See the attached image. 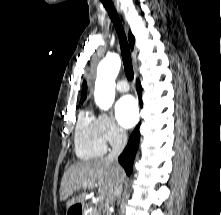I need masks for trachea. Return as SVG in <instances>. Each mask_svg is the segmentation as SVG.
Returning <instances> with one entry per match:
<instances>
[{
  "label": "trachea",
  "mask_w": 221,
  "mask_h": 215,
  "mask_svg": "<svg viewBox=\"0 0 221 215\" xmlns=\"http://www.w3.org/2000/svg\"><path fill=\"white\" fill-rule=\"evenodd\" d=\"M101 1L104 5L105 9L107 10L108 15L111 18L114 26H115V29H116V32H117V35L119 38L120 49H121V53H122L126 77L128 80H132L134 77L132 60H131V56H130L129 45L127 42V38H126V35L124 32L122 23L118 17V14H117L111 0H101Z\"/></svg>",
  "instance_id": "3493384b"
}]
</instances>
